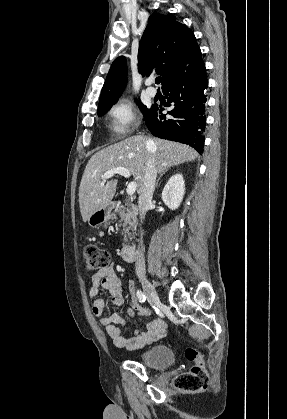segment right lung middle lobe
<instances>
[{
  "mask_svg": "<svg viewBox=\"0 0 287 419\" xmlns=\"http://www.w3.org/2000/svg\"><path fill=\"white\" fill-rule=\"evenodd\" d=\"M113 104H115V103H113ZM113 104H109V105H106V106H103V107L99 108L98 112H97L98 116L99 117L103 116L107 111H109V109L112 107ZM138 105H139V107H140V109H141V111L144 115V120H145L149 116V114L152 110V107L148 109L146 106H144L140 102H138Z\"/></svg>",
  "mask_w": 287,
  "mask_h": 419,
  "instance_id": "obj_1",
  "label": "right lung middle lobe"
}]
</instances>
